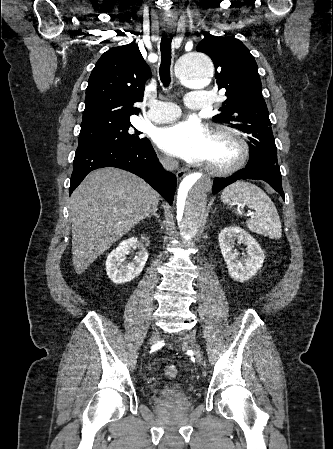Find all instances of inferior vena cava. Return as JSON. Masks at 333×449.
I'll list each match as a JSON object with an SVG mask.
<instances>
[{
	"label": "inferior vena cava",
	"mask_w": 333,
	"mask_h": 449,
	"mask_svg": "<svg viewBox=\"0 0 333 449\" xmlns=\"http://www.w3.org/2000/svg\"><path fill=\"white\" fill-rule=\"evenodd\" d=\"M161 163L165 169L170 170V171L175 170L178 166L177 161L172 158L161 159Z\"/></svg>",
	"instance_id": "602c4592"
}]
</instances>
